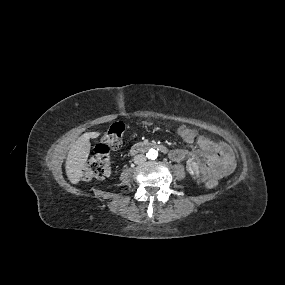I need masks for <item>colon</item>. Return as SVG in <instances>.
Segmentation results:
<instances>
[{
  "label": "colon",
  "mask_w": 285,
  "mask_h": 285,
  "mask_svg": "<svg viewBox=\"0 0 285 285\" xmlns=\"http://www.w3.org/2000/svg\"><path fill=\"white\" fill-rule=\"evenodd\" d=\"M124 130L125 126L121 122H115L109 127L102 141L96 145L93 155L83 167V179L101 180L107 178L110 175L111 161L109 157V151L110 149H116L121 146ZM178 134L186 142H193L197 137L196 130L185 125H182L178 128ZM206 186L208 188H214L217 186V181L210 179L207 181Z\"/></svg>",
  "instance_id": "5ec220e1"
}]
</instances>
